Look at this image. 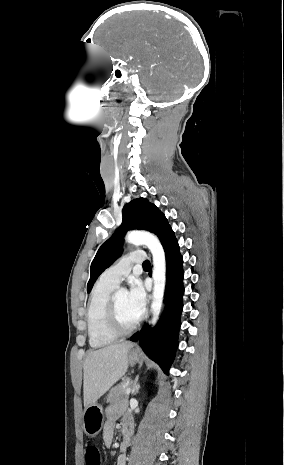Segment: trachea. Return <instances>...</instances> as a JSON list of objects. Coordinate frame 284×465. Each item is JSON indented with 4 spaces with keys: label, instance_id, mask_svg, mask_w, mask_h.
Returning a JSON list of instances; mask_svg holds the SVG:
<instances>
[{
    "label": "trachea",
    "instance_id": "3493384b",
    "mask_svg": "<svg viewBox=\"0 0 284 465\" xmlns=\"http://www.w3.org/2000/svg\"><path fill=\"white\" fill-rule=\"evenodd\" d=\"M143 268H150V262H149V260H145V261L143 262Z\"/></svg>",
    "mask_w": 284,
    "mask_h": 465
}]
</instances>
